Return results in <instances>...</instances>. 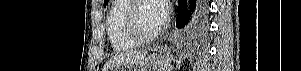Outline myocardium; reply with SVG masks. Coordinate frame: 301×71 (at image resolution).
Here are the masks:
<instances>
[{
    "mask_svg": "<svg viewBox=\"0 0 301 71\" xmlns=\"http://www.w3.org/2000/svg\"><path fill=\"white\" fill-rule=\"evenodd\" d=\"M147 0H131L124 14V25L127 34L139 44L150 43L158 39L162 33V30L146 34L139 28L138 23L135 20V12L138 5Z\"/></svg>",
    "mask_w": 301,
    "mask_h": 71,
    "instance_id": "myocardium-1",
    "label": "myocardium"
}]
</instances>
